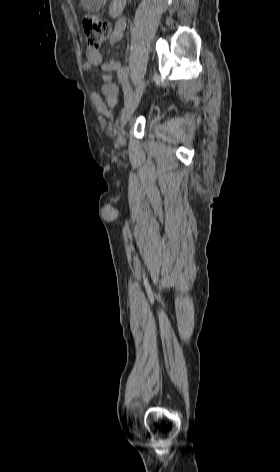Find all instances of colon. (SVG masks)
<instances>
[{
	"mask_svg": "<svg viewBox=\"0 0 280 472\" xmlns=\"http://www.w3.org/2000/svg\"><path fill=\"white\" fill-rule=\"evenodd\" d=\"M82 27L86 36L88 54L97 51L111 32L108 22L91 13L83 15Z\"/></svg>",
	"mask_w": 280,
	"mask_h": 472,
	"instance_id": "1",
	"label": "colon"
}]
</instances>
